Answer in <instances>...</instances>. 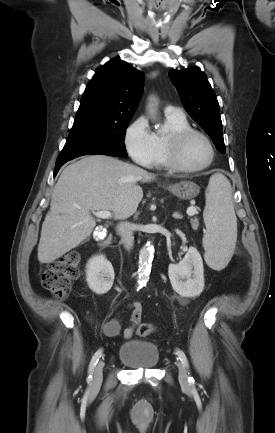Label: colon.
Wrapping results in <instances>:
<instances>
[{"label":"colon","mask_w":275,"mask_h":433,"mask_svg":"<svg viewBox=\"0 0 275 433\" xmlns=\"http://www.w3.org/2000/svg\"><path fill=\"white\" fill-rule=\"evenodd\" d=\"M80 254L72 250L51 262L42 275V285L59 299L69 296L73 282L79 276ZM154 332L151 323H140L137 329L139 336H148Z\"/></svg>","instance_id":"colon-1"}]
</instances>
